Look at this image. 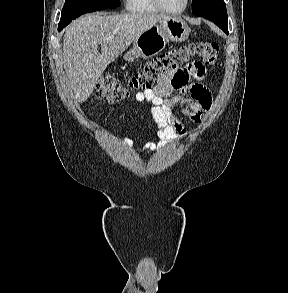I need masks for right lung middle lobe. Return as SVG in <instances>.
<instances>
[{
  "instance_id": "right-lung-middle-lobe-1",
  "label": "right lung middle lobe",
  "mask_w": 288,
  "mask_h": 293,
  "mask_svg": "<svg viewBox=\"0 0 288 293\" xmlns=\"http://www.w3.org/2000/svg\"><path fill=\"white\" fill-rule=\"evenodd\" d=\"M119 0H65L58 28H64L82 14L101 9L117 8Z\"/></svg>"
}]
</instances>
